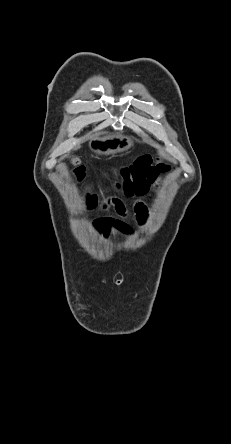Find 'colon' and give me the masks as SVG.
<instances>
[{
  "instance_id": "colon-1",
  "label": "colon",
  "mask_w": 231,
  "mask_h": 444,
  "mask_svg": "<svg viewBox=\"0 0 231 444\" xmlns=\"http://www.w3.org/2000/svg\"><path fill=\"white\" fill-rule=\"evenodd\" d=\"M74 172L78 179L84 177V168L75 160ZM167 166L158 163L153 164L151 156L145 155L139 157L134 164L121 170V176L124 179V193L129 196L143 195L148 191L149 184L161 173L167 170ZM140 204H137V207Z\"/></svg>"
}]
</instances>
